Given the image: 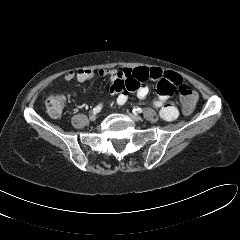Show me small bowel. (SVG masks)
<instances>
[{
	"mask_svg": "<svg viewBox=\"0 0 240 240\" xmlns=\"http://www.w3.org/2000/svg\"><path fill=\"white\" fill-rule=\"evenodd\" d=\"M96 76H109L110 92L117 95V104L123 106L129 98V94L136 93L139 99H145L149 93L147 81H157L158 96L153 105L158 108L159 115L164 121L175 120L179 111L169 97L175 89L183 83V78L172 71H165L160 68H126L122 71L108 69H80L69 71L65 74L64 80L70 83L73 80L85 82ZM74 96L75 92L72 93Z\"/></svg>",
	"mask_w": 240,
	"mask_h": 240,
	"instance_id": "c3829d8e",
	"label": "small bowel"
}]
</instances>
